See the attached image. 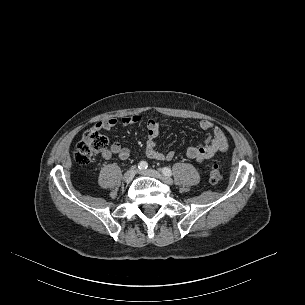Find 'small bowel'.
Segmentation results:
<instances>
[{
	"label": "small bowel",
	"mask_w": 305,
	"mask_h": 305,
	"mask_svg": "<svg viewBox=\"0 0 305 305\" xmlns=\"http://www.w3.org/2000/svg\"><path fill=\"white\" fill-rule=\"evenodd\" d=\"M142 118L139 115L124 116L121 118V123L125 126L139 124ZM118 124L116 118L98 122L97 129L110 130ZM197 127L208 133L206 140L202 143L192 144L188 147L186 155L188 158L195 160L198 163L209 161L216 153L223 152L228 148V140L224 131L215 126L209 120H201ZM160 133V124L155 119L147 120V142L145 153L148 158L155 160H172L175 157V152L172 150L161 152L157 149V139ZM113 156H118L121 160H126L130 156V150L122 146L119 142H113L102 157L105 160L111 159Z\"/></svg>",
	"instance_id": "1"
}]
</instances>
